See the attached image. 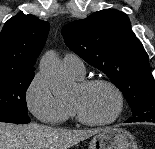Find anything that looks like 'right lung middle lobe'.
Masks as SVG:
<instances>
[{
	"mask_svg": "<svg viewBox=\"0 0 155 149\" xmlns=\"http://www.w3.org/2000/svg\"><path fill=\"white\" fill-rule=\"evenodd\" d=\"M34 75V71L0 75V122H30L25 96Z\"/></svg>",
	"mask_w": 155,
	"mask_h": 149,
	"instance_id": "obj_1",
	"label": "right lung middle lobe"
}]
</instances>
